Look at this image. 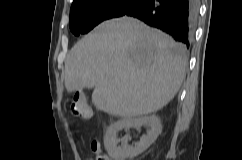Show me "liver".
Masks as SVG:
<instances>
[{
    "instance_id": "obj_1",
    "label": "liver",
    "mask_w": 242,
    "mask_h": 160,
    "mask_svg": "<svg viewBox=\"0 0 242 160\" xmlns=\"http://www.w3.org/2000/svg\"><path fill=\"white\" fill-rule=\"evenodd\" d=\"M186 48L141 21L122 17L98 25L78 41L65 62L68 92L94 88L92 102L110 115L155 113L180 89Z\"/></svg>"
}]
</instances>
